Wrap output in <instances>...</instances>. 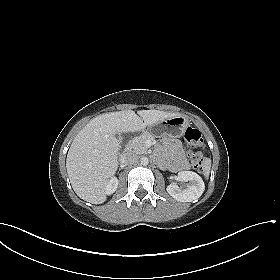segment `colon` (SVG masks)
<instances>
[{"label": "colon", "instance_id": "obj_1", "mask_svg": "<svg viewBox=\"0 0 280 280\" xmlns=\"http://www.w3.org/2000/svg\"><path fill=\"white\" fill-rule=\"evenodd\" d=\"M185 142L191 147L188 153L189 160L194 169L198 171L204 170V157L201 152L197 151L199 148H203V139L198 129L189 127L184 134Z\"/></svg>", "mask_w": 280, "mask_h": 280}]
</instances>
